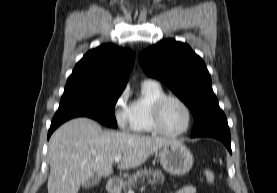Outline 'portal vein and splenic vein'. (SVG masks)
<instances>
[{
	"label": "portal vein and splenic vein",
	"instance_id": "1",
	"mask_svg": "<svg viewBox=\"0 0 277 193\" xmlns=\"http://www.w3.org/2000/svg\"><path fill=\"white\" fill-rule=\"evenodd\" d=\"M114 160H115L116 163L120 162V160H121V155L115 156ZM129 193H134V191H130Z\"/></svg>",
	"mask_w": 277,
	"mask_h": 193
}]
</instances>
